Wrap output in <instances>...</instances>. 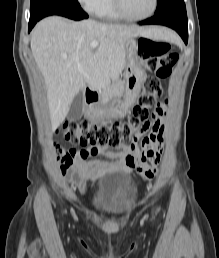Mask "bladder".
<instances>
[{
	"label": "bladder",
	"mask_w": 219,
	"mask_h": 258,
	"mask_svg": "<svg viewBox=\"0 0 219 258\" xmlns=\"http://www.w3.org/2000/svg\"><path fill=\"white\" fill-rule=\"evenodd\" d=\"M138 197L135 178L127 172L117 171L98 184L91 207L104 216L121 218L134 209Z\"/></svg>",
	"instance_id": "obj_1"
}]
</instances>
